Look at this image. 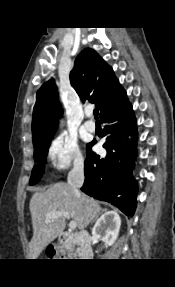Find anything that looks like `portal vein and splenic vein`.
<instances>
[{
    "label": "portal vein and splenic vein",
    "instance_id": "1",
    "mask_svg": "<svg viewBox=\"0 0 175 287\" xmlns=\"http://www.w3.org/2000/svg\"><path fill=\"white\" fill-rule=\"evenodd\" d=\"M63 216L67 219H69V213L66 211H52L49 214L46 215L45 222L48 223L51 219L57 218ZM77 227V223L75 221L69 222V228L75 229Z\"/></svg>",
    "mask_w": 175,
    "mask_h": 287
}]
</instances>
